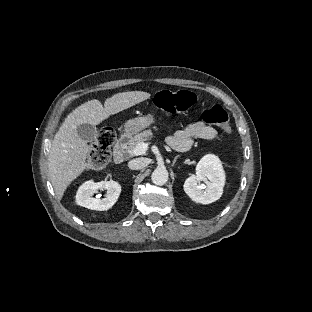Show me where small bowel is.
Segmentation results:
<instances>
[{
  "label": "small bowel",
  "instance_id": "1",
  "mask_svg": "<svg viewBox=\"0 0 312 312\" xmlns=\"http://www.w3.org/2000/svg\"><path fill=\"white\" fill-rule=\"evenodd\" d=\"M216 134L214 128L199 121L175 131L167 141L173 149L185 152L192 147L196 139L211 140L216 137Z\"/></svg>",
  "mask_w": 312,
  "mask_h": 312
}]
</instances>
